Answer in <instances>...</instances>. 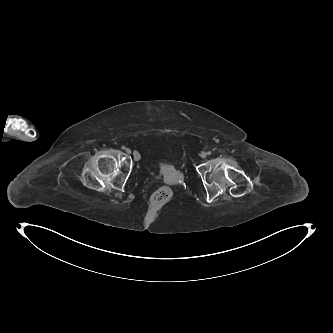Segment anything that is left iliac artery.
Here are the masks:
<instances>
[{"label": "left iliac artery", "instance_id": "left-iliac-artery-1", "mask_svg": "<svg viewBox=\"0 0 333 333\" xmlns=\"http://www.w3.org/2000/svg\"><path fill=\"white\" fill-rule=\"evenodd\" d=\"M207 154L210 155V154H211V151H208Z\"/></svg>", "mask_w": 333, "mask_h": 333}]
</instances>
